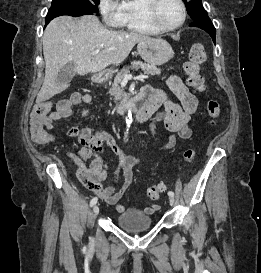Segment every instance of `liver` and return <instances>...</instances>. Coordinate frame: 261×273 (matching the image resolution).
<instances>
[{"label": "liver", "mask_w": 261, "mask_h": 273, "mask_svg": "<svg viewBox=\"0 0 261 273\" xmlns=\"http://www.w3.org/2000/svg\"><path fill=\"white\" fill-rule=\"evenodd\" d=\"M146 39L150 37L135 32L108 30L94 15L53 19L43 35L45 78L36 103L49 100L68 88V83L56 81L59 71L67 63L73 62L74 71L79 75L98 73L110 64L122 63L133 47ZM96 49H100V52L92 55Z\"/></svg>", "instance_id": "1"}]
</instances>
